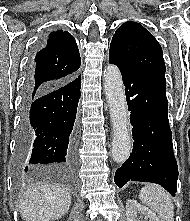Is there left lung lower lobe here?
<instances>
[{"label": "left lung lower lobe", "mask_w": 190, "mask_h": 221, "mask_svg": "<svg viewBox=\"0 0 190 221\" xmlns=\"http://www.w3.org/2000/svg\"><path fill=\"white\" fill-rule=\"evenodd\" d=\"M120 72L125 85L134 143L130 157L117 169L114 181L118 187L128 181L157 183L175 196L178 167L167 114L165 80L123 69Z\"/></svg>", "instance_id": "obj_1"}]
</instances>
